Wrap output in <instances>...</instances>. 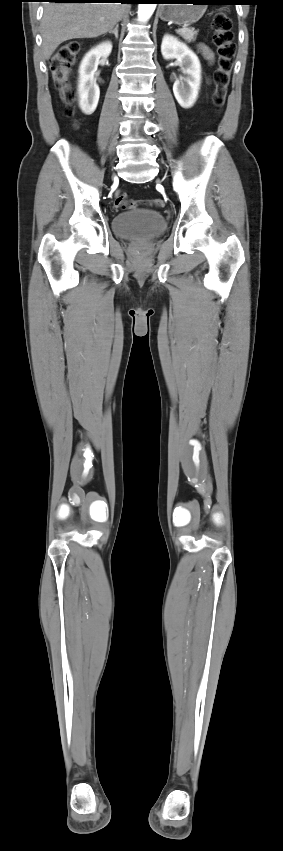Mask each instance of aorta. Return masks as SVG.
<instances>
[{
  "instance_id": "762f6f07",
  "label": "aorta",
  "mask_w": 283,
  "mask_h": 851,
  "mask_svg": "<svg viewBox=\"0 0 283 851\" xmlns=\"http://www.w3.org/2000/svg\"><path fill=\"white\" fill-rule=\"evenodd\" d=\"M156 8L155 3H141L138 6V17L141 21L148 20Z\"/></svg>"
}]
</instances>
